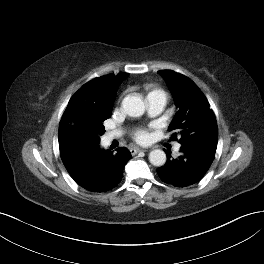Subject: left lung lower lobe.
<instances>
[{"label":"left lung lower lobe","mask_w":264,"mask_h":264,"mask_svg":"<svg viewBox=\"0 0 264 264\" xmlns=\"http://www.w3.org/2000/svg\"><path fill=\"white\" fill-rule=\"evenodd\" d=\"M180 155L172 158L166 151L167 162L157 169L159 177L175 187H188L200 181L212 164L216 148L206 145H181Z\"/></svg>","instance_id":"obj_1"}]
</instances>
